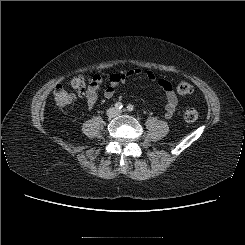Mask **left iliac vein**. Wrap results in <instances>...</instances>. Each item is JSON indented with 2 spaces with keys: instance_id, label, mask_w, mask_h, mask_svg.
Listing matches in <instances>:
<instances>
[{
  "instance_id": "4c4485c4",
  "label": "left iliac vein",
  "mask_w": 245,
  "mask_h": 245,
  "mask_svg": "<svg viewBox=\"0 0 245 245\" xmlns=\"http://www.w3.org/2000/svg\"><path fill=\"white\" fill-rule=\"evenodd\" d=\"M122 113V111H118V114H121Z\"/></svg>"
}]
</instances>
